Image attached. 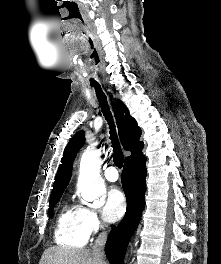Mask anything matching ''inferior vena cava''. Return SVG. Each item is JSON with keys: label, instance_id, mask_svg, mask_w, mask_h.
Returning a JSON list of instances; mask_svg holds the SVG:
<instances>
[{"label": "inferior vena cava", "instance_id": "602c4592", "mask_svg": "<svg viewBox=\"0 0 221 264\" xmlns=\"http://www.w3.org/2000/svg\"><path fill=\"white\" fill-rule=\"evenodd\" d=\"M107 240V233L103 231L99 234L95 245L92 248L93 253H95L98 257L103 258L104 257V245Z\"/></svg>", "mask_w": 221, "mask_h": 264}]
</instances>
